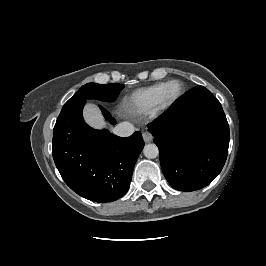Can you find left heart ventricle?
<instances>
[{
    "mask_svg": "<svg viewBox=\"0 0 266 266\" xmlns=\"http://www.w3.org/2000/svg\"><path fill=\"white\" fill-rule=\"evenodd\" d=\"M179 91V87L177 85H172L168 89V96H174Z\"/></svg>",
    "mask_w": 266,
    "mask_h": 266,
    "instance_id": "left-heart-ventricle-1",
    "label": "left heart ventricle"
}]
</instances>
